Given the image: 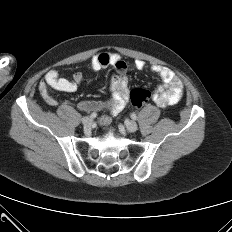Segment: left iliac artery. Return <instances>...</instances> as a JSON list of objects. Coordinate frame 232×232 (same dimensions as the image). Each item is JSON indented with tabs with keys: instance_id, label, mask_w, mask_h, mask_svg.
Masks as SVG:
<instances>
[{
	"instance_id": "44dca946",
	"label": "left iliac artery",
	"mask_w": 232,
	"mask_h": 232,
	"mask_svg": "<svg viewBox=\"0 0 232 232\" xmlns=\"http://www.w3.org/2000/svg\"><path fill=\"white\" fill-rule=\"evenodd\" d=\"M131 118H132L133 120H136V119H137L136 114L132 113V114H131Z\"/></svg>"
}]
</instances>
